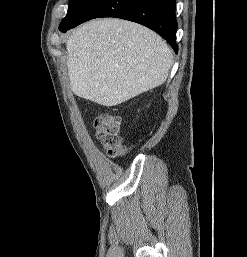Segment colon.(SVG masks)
Segmentation results:
<instances>
[{"label": "colon", "instance_id": "1", "mask_svg": "<svg viewBox=\"0 0 247 257\" xmlns=\"http://www.w3.org/2000/svg\"><path fill=\"white\" fill-rule=\"evenodd\" d=\"M121 121L118 116L101 114L94 122L96 138L110 156H118L125 152L119 131Z\"/></svg>", "mask_w": 247, "mask_h": 257}]
</instances>
